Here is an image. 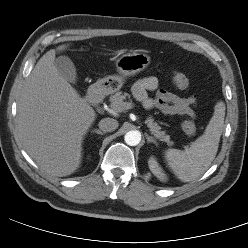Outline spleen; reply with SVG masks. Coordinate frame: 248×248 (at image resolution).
Listing matches in <instances>:
<instances>
[{
	"mask_svg": "<svg viewBox=\"0 0 248 248\" xmlns=\"http://www.w3.org/2000/svg\"><path fill=\"white\" fill-rule=\"evenodd\" d=\"M225 104L218 102L204 134L191 143L186 150L167 149L164 158L168 167L182 182L200 177L211 165L223 132Z\"/></svg>",
	"mask_w": 248,
	"mask_h": 248,
	"instance_id": "1",
	"label": "spleen"
}]
</instances>
